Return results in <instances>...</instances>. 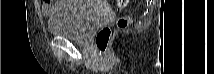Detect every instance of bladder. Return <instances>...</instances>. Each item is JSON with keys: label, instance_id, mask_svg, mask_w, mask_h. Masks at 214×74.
Returning <instances> with one entry per match:
<instances>
[{"label": "bladder", "instance_id": "bladder-1", "mask_svg": "<svg viewBox=\"0 0 214 74\" xmlns=\"http://www.w3.org/2000/svg\"><path fill=\"white\" fill-rule=\"evenodd\" d=\"M71 5L58 8L49 19V31L54 36L85 41L97 25L101 11L91 1H69Z\"/></svg>", "mask_w": 214, "mask_h": 74}]
</instances>
